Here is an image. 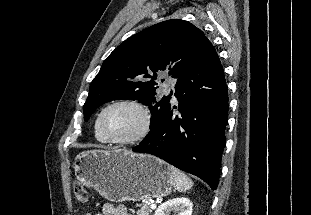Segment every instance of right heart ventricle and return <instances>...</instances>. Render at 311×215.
Returning <instances> with one entry per match:
<instances>
[{
  "label": "right heart ventricle",
  "instance_id": "obj_1",
  "mask_svg": "<svg viewBox=\"0 0 311 215\" xmlns=\"http://www.w3.org/2000/svg\"><path fill=\"white\" fill-rule=\"evenodd\" d=\"M95 137L99 142H106L102 136L100 135L98 129H97V124L95 123Z\"/></svg>",
  "mask_w": 311,
  "mask_h": 215
}]
</instances>
